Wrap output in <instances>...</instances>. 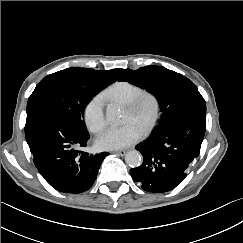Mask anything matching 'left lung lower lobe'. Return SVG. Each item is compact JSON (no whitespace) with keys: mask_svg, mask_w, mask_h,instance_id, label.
Wrapping results in <instances>:
<instances>
[{"mask_svg":"<svg viewBox=\"0 0 243 243\" xmlns=\"http://www.w3.org/2000/svg\"><path fill=\"white\" fill-rule=\"evenodd\" d=\"M206 105L192 107L171 120L165 130L151 136L136 149L143 163L130 170L143 190L163 193L174 189L200 153L205 134Z\"/></svg>","mask_w":243,"mask_h":243,"instance_id":"obj_1","label":"left lung lower lobe"}]
</instances>
